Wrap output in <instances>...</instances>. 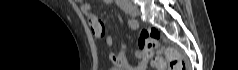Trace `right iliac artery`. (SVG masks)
Instances as JSON below:
<instances>
[{
  "label": "right iliac artery",
  "mask_w": 238,
  "mask_h": 70,
  "mask_svg": "<svg viewBox=\"0 0 238 70\" xmlns=\"http://www.w3.org/2000/svg\"><path fill=\"white\" fill-rule=\"evenodd\" d=\"M128 23H129V26H130L132 29L138 28V22H137L136 20L131 19V20H129Z\"/></svg>",
  "instance_id": "obj_1"
}]
</instances>
